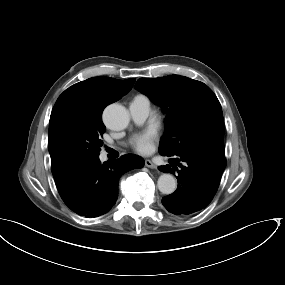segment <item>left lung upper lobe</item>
<instances>
[{
	"label": "left lung upper lobe",
	"instance_id": "left-lung-upper-lobe-1",
	"mask_svg": "<svg viewBox=\"0 0 285 285\" xmlns=\"http://www.w3.org/2000/svg\"><path fill=\"white\" fill-rule=\"evenodd\" d=\"M135 88L166 112L159 153L166 156L207 151L224 156L221 105L204 83L184 76L140 78Z\"/></svg>",
	"mask_w": 285,
	"mask_h": 285
}]
</instances>
